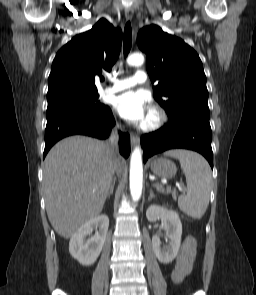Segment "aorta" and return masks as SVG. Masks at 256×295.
Wrapping results in <instances>:
<instances>
[{
    "label": "aorta",
    "mask_w": 256,
    "mask_h": 295,
    "mask_svg": "<svg viewBox=\"0 0 256 295\" xmlns=\"http://www.w3.org/2000/svg\"><path fill=\"white\" fill-rule=\"evenodd\" d=\"M144 63V56L141 53H134L127 59L130 66H141ZM143 185V164L142 151L136 146L130 160V192L134 202H137L142 194Z\"/></svg>",
    "instance_id": "1"
}]
</instances>
